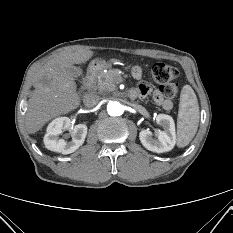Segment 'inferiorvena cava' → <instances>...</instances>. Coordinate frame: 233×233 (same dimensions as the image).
Wrapping results in <instances>:
<instances>
[{"instance_id": "inferior-vena-cava-1", "label": "inferior vena cava", "mask_w": 233, "mask_h": 233, "mask_svg": "<svg viewBox=\"0 0 233 233\" xmlns=\"http://www.w3.org/2000/svg\"><path fill=\"white\" fill-rule=\"evenodd\" d=\"M100 98L99 96L89 93L84 96V103L87 107H93L98 104Z\"/></svg>"}]
</instances>
